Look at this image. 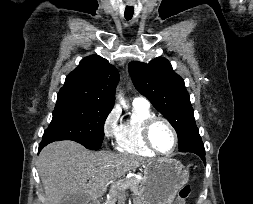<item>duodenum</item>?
<instances>
[{
	"label": "duodenum",
	"mask_w": 253,
	"mask_h": 204,
	"mask_svg": "<svg viewBox=\"0 0 253 204\" xmlns=\"http://www.w3.org/2000/svg\"><path fill=\"white\" fill-rule=\"evenodd\" d=\"M88 204H98L97 199L96 198L90 199Z\"/></svg>",
	"instance_id": "duodenum-1"
}]
</instances>
